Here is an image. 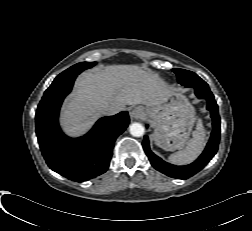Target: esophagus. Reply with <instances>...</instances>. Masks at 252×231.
<instances>
[{"mask_svg": "<svg viewBox=\"0 0 252 231\" xmlns=\"http://www.w3.org/2000/svg\"><path fill=\"white\" fill-rule=\"evenodd\" d=\"M143 115V109L142 108H134L130 112L131 119H139Z\"/></svg>", "mask_w": 252, "mask_h": 231, "instance_id": "esophagus-1", "label": "esophagus"}]
</instances>
